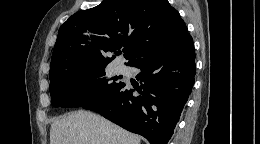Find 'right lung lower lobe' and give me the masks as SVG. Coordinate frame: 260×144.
Here are the masks:
<instances>
[{
    "instance_id": "obj_1",
    "label": "right lung lower lobe",
    "mask_w": 260,
    "mask_h": 144,
    "mask_svg": "<svg viewBox=\"0 0 260 144\" xmlns=\"http://www.w3.org/2000/svg\"><path fill=\"white\" fill-rule=\"evenodd\" d=\"M129 66L140 69V86L122 82L107 96L83 106L151 144H167L192 91L195 50L188 33L180 41L147 53Z\"/></svg>"
}]
</instances>
